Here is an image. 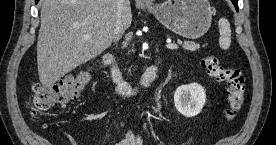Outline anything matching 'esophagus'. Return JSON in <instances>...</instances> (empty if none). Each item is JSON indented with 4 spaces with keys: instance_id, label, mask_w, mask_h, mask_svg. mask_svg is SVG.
Instances as JSON below:
<instances>
[{
    "instance_id": "esophagus-1",
    "label": "esophagus",
    "mask_w": 276,
    "mask_h": 145,
    "mask_svg": "<svg viewBox=\"0 0 276 145\" xmlns=\"http://www.w3.org/2000/svg\"><path fill=\"white\" fill-rule=\"evenodd\" d=\"M143 3H150V0H141Z\"/></svg>"
}]
</instances>
